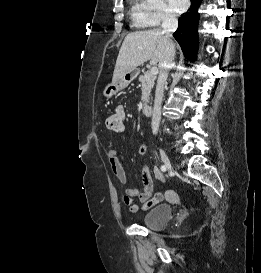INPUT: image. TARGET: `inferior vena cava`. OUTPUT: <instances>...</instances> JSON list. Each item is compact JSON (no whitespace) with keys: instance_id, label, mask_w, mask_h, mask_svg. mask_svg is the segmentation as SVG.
<instances>
[{"instance_id":"602c4592","label":"inferior vena cava","mask_w":261,"mask_h":273,"mask_svg":"<svg viewBox=\"0 0 261 273\" xmlns=\"http://www.w3.org/2000/svg\"><path fill=\"white\" fill-rule=\"evenodd\" d=\"M177 27L178 20L176 16L171 12H165L162 21V28L166 34L167 42L164 59L159 64V76L156 85L155 101L151 122L153 134L158 133L161 120V105L163 100L164 87L166 85L168 73L174 66L175 44L172 40V34L176 31Z\"/></svg>"}]
</instances>
